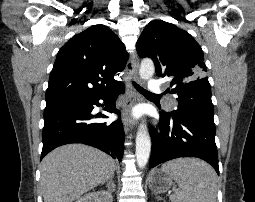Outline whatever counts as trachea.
<instances>
[{
  "label": "trachea",
  "mask_w": 255,
  "mask_h": 202,
  "mask_svg": "<svg viewBox=\"0 0 255 202\" xmlns=\"http://www.w3.org/2000/svg\"><path fill=\"white\" fill-rule=\"evenodd\" d=\"M133 85H134V87H135L140 93H142V94H144V95H149V96L158 97V98L160 97V95L153 94V93H151V92L145 90L144 88L140 87L139 85H137V84L134 83V82H133Z\"/></svg>",
  "instance_id": "trachea-1"
}]
</instances>
